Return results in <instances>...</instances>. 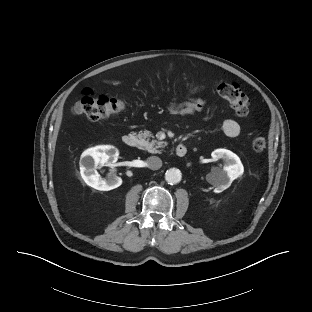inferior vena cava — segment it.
<instances>
[{
	"mask_svg": "<svg viewBox=\"0 0 312 312\" xmlns=\"http://www.w3.org/2000/svg\"><path fill=\"white\" fill-rule=\"evenodd\" d=\"M148 167L152 170H158L162 166V160L157 156H151L147 159Z\"/></svg>",
	"mask_w": 312,
	"mask_h": 312,
	"instance_id": "inferior-vena-cava-1",
	"label": "inferior vena cava"
}]
</instances>
